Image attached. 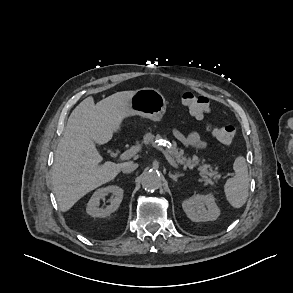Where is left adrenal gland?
<instances>
[{"instance_id":"left-adrenal-gland-1","label":"left adrenal gland","mask_w":293,"mask_h":293,"mask_svg":"<svg viewBox=\"0 0 293 293\" xmlns=\"http://www.w3.org/2000/svg\"><path fill=\"white\" fill-rule=\"evenodd\" d=\"M181 176H183L182 173L171 174V173L169 172V177L172 178L175 182H177V179H178L179 177H181Z\"/></svg>"}]
</instances>
